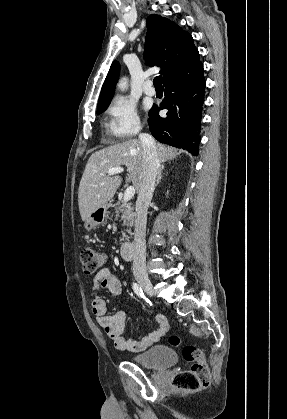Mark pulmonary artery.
Here are the masks:
<instances>
[{
    "label": "pulmonary artery",
    "mask_w": 287,
    "mask_h": 419,
    "mask_svg": "<svg viewBox=\"0 0 287 419\" xmlns=\"http://www.w3.org/2000/svg\"><path fill=\"white\" fill-rule=\"evenodd\" d=\"M144 93L148 96H154L155 95V89L152 87V82L150 80H147L144 83Z\"/></svg>",
    "instance_id": "e3ab8cb5"
}]
</instances>
